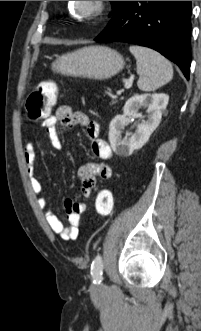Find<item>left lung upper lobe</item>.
Wrapping results in <instances>:
<instances>
[{
  "mask_svg": "<svg viewBox=\"0 0 201 331\" xmlns=\"http://www.w3.org/2000/svg\"><path fill=\"white\" fill-rule=\"evenodd\" d=\"M110 2L113 6V12L110 14V16H111V15H114L117 12V10H118V8H119L122 1H110Z\"/></svg>",
  "mask_w": 201,
  "mask_h": 331,
  "instance_id": "5c2ea615",
  "label": "left lung upper lobe"
}]
</instances>
